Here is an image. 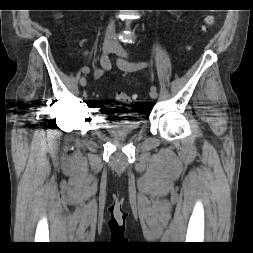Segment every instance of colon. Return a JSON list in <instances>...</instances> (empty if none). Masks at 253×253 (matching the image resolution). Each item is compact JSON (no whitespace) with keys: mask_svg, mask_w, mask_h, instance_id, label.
<instances>
[{"mask_svg":"<svg viewBox=\"0 0 253 253\" xmlns=\"http://www.w3.org/2000/svg\"><path fill=\"white\" fill-rule=\"evenodd\" d=\"M206 23L207 24H212L213 23V17L212 16H207L206 17ZM136 99L135 95H129L124 92H117L115 95V100L120 102V103H125V104H130Z\"/></svg>","mask_w":253,"mask_h":253,"instance_id":"5ec220e1","label":"colon"}]
</instances>
